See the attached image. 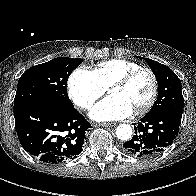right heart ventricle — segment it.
I'll return each mask as SVG.
<instances>
[{"instance_id":"e07e8e85","label":"right heart ventricle","mask_w":196,"mask_h":196,"mask_svg":"<svg viewBox=\"0 0 196 196\" xmlns=\"http://www.w3.org/2000/svg\"><path fill=\"white\" fill-rule=\"evenodd\" d=\"M139 67L141 66L134 61L114 58L98 63L93 73L100 84L108 88L113 81Z\"/></svg>"}]
</instances>
